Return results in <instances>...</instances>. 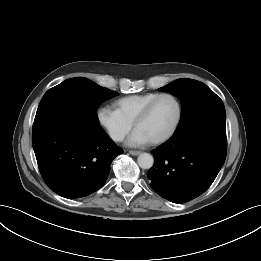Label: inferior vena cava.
Segmentation results:
<instances>
[{"label":"inferior vena cava","mask_w":261,"mask_h":261,"mask_svg":"<svg viewBox=\"0 0 261 261\" xmlns=\"http://www.w3.org/2000/svg\"><path fill=\"white\" fill-rule=\"evenodd\" d=\"M122 139H123V137H121V136L115 138V140H119V141Z\"/></svg>","instance_id":"1"}]
</instances>
